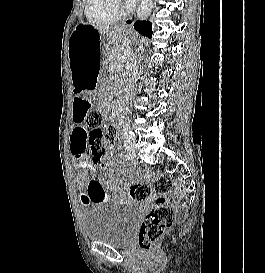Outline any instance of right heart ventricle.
I'll return each mask as SVG.
<instances>
[{"mask_svg": "<svg viewBox=\"0 0 265 273\" xmlns=\"http://www.w3.org/2000/svg\"><path fill=\"white\" fill-rule=\"evenodd\" d=\"M85 14L93 23L106 24L117 21L122 11L115 0H86Z\"/></svg>", "mask_w": 265, "mask_h": 273, "instance_id": "right-heart-ventricle-1", "label": "right heart ventricle"}]
</instances>
